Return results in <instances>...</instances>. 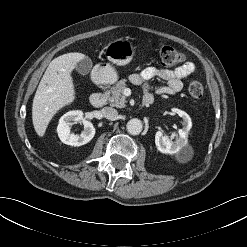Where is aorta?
<instances>
[{"instance_id":"aorta-1","label":"aorta","mask_w":247,"mask_h":247,"mask_svg":"<svg viewBox=\"0 0 247 247\" xmlns=\"http://www.w3.org/2000/svg\"><path fill=\"white\" fill-rule=\"evenodd\" d=\"M127 131L132 135H138L143 128L142 121L137 118H133L127 122Z\"/></svg>"}]
</instances>
